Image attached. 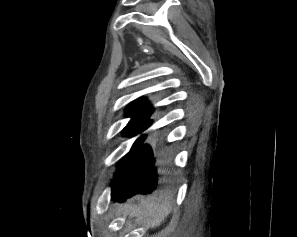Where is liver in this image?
I'll return each instance as SVG.
<instances>
[{
    "label": "liver",
    "mask_w": 297,
    "mask_h": 237,
    "mask_svg": "<svg viewBox=\"0 0 297 237\" xmlns=\"http://www.w3.org/2000/svg\"><path fill=\"white\" fill-rule=\"evenodd\" d=\"M138 204L132 201L123 206V215L129 218L137 217V223L146 230L153 229L162 224L172 210V205L168 197L165 196H136L134 198Z\"/></svg>",
    "instance_id": "obj_1"
}]
</instances>
